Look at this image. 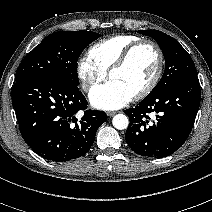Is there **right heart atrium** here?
<instances>
[{"mask_svg": "<svg viewBox=\"0 0 212 212\" xmlns=\"http://www.w3.org/2000/svg\"><path fill=\"white\" fill-rule=\"evenodd\" d=\"M76 74L85 92L92 90L106 79V73L98 68L89 57H81L76 63Z\"/></svg>", "mask_w": 212, "mask_h": 212, "instance_id": "d8ad5b80", "label": "right heart atrium"}]
</instances>
